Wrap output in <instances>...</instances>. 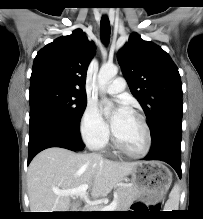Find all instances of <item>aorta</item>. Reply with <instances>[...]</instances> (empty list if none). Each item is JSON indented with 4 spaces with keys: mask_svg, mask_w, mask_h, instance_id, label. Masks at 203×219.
<instances>
[{
    "mask_svg": "<svg viewBox=\"0 0 203 219\" xmlns=\"http://www.w3.org/2000/svg\"><path fill=\"white\" fill-rule=\"evenodd\" d=\"M117 73H118V67L116 65H103L100 68L97 78V82L100 90H103L105 86L117 75ZM111 107L112 104L108 103L105 108L106 114L109 113Z\"/></svg>",
    "mask_w": 203,
    "mask_h": 219,
    "instance_id": "aorta-1",
    "label": "aorta"
}]
</instances>
